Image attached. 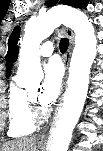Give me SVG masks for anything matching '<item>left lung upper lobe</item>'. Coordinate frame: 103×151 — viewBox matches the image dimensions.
Listing matches in <instances>:
<instances>
[{"label": "left lung upper lobe", "mask_w": 103, "mask_h": 151, "mask_svg": "<svg viewBox=\"0 0 103 151\" xmlns=\"http://www.w3.org/2000/svg\"><path fill=\"white\" fill-rule=\"evenodd\" d=\"M58 3V0H52L50 3H48V6H53ZM60 3L74 6L76 8H85L88 4V0H61Z\"/></svg>", "instance_id": "left-lung-upper-lobe-1"}]
</instances>
